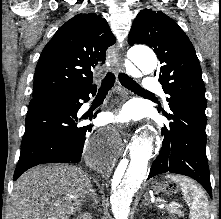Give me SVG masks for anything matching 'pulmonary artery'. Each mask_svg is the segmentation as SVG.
Segmentation results:
<instances>
[{
	"label": "pulmonary artery",
	"mask_w": 221,
	"mask_h": 219,
	"mask_svg": "<svg viewBox=\"0 0 221 219\" xmlns=\"http://www.w3.org/2000/svg\"><path fill=\"white\" fill-rule=\"evenodd\" d=\"M144 90H146L148 94L151 95L163 94L161 83L158 81V79L151 76L145 78Z\"/></svg>",
	"instance_id": "pulmonary-artery-1"
}]
</instances>
